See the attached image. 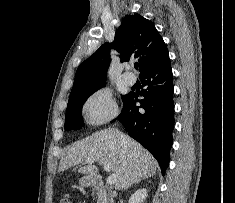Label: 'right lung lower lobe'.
Returning a JSON list of instances; mask_svg holds the SVG:
<instances>
[{
    "instance_id": "right-lung-lower-lobe-1",
    "label": "right lung lower lobe",
    "mask_w": 235,
    "mask_h": 203,
    "mask_svg": "<svg viewBox=\"0 0 235 203\" xmlns=\"http://www.w3.org/2000/svg\"><path fill=\"white\" fill-rule=\"evenodd\" d=\"M140 79L146 86L141 93L144 99L138 100L140 107L135 105V94L125 95L118 119L128 134L157 159L164 174L169 164L174 127V88L169 57L145 70Z\"/></svg>"
}]
</instances>
